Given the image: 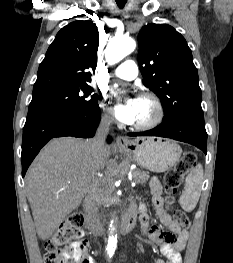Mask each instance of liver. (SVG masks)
Here are the masks:
<instances>
[{
    "label": "liver",
    "mask_w": 233,
    "mask_h": 263,
    "mask_svg": "<svg viewBox=\"0 0 233 263\" xmlns=\"http://www.w3.org/2000/svg\"><path fill=\"white\" fill-rule=\"evenodd\" d=\"M110 156L106 147L98 164L91 140L52 139L36 157L25 178L36 232L47 240L88 193Z\"/></svg>",
    "instance_id": "6515ba94"
}]
</instances>
